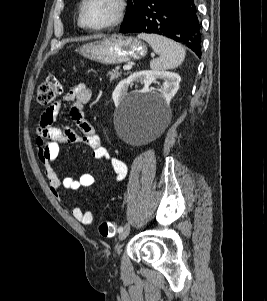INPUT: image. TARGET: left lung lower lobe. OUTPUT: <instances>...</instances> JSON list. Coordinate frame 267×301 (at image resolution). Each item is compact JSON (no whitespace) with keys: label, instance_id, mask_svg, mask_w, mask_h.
Returning a JSON list of instances; mask_svg holds the SVG:
<instances>
[{"label":"left lung lower lobe","instance_id":"1","mask_svg":"<svg viewBox=\"0 0 267 301\" xmlns=\"http://www.w3.org/2000/svg\"><path fill=\"white\" fill-rule=\"evenodd\" d=\"M121 33H152L171 38L201 56L200 24L194 0H146Z\"/></svg>","mask_w":267,"mask_h":301}]
</instances>
